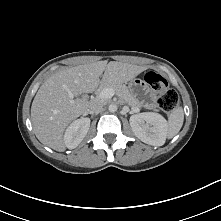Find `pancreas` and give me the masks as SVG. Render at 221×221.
<instances>
[{"instance_id":"pancreas-1","label":"pancreas","mask_w":221,"mask_h":221,"mask_svg":"<svg viewBox=\"0 0 221 221\" xmlns=\"http://www.w3.org/2000/svg\"><path fill=\"white\" fill-rule=\"evenodd\" d=\"M106 88H112L131 107L139 105L138 100L130 93V91L126 88V86L122 84H112V85L102 84L96 92L97 94L95 100L96 103L102 105L107 103V99L101 97L102 91Z\"/></svg>"}]
</instances>
